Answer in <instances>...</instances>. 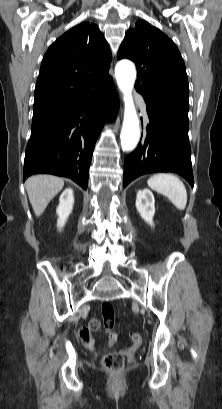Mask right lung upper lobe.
<instances>
[{
    "mask_svg": "<svg viewBox=\"0 0 222 409\" xmlns=\"http://www.w3.org/2000/svg\"><path fill=\"white\" fill-rule=\"evenodd\" d=\"M111 52L98 26L83 22L47 50L36 83L34 108L84 94L109 75Z\"/></svg>",
    "mask_w": 222,
    "mask_h": 409,
    "instance_id": "1",
    "label": "right lung upper lobe"
}]
</instances>
